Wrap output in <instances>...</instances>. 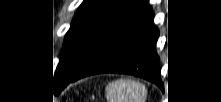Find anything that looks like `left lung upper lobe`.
<instances>
[{"label": "left lung upper lobe", "instance_id": "5c2ea615", "mask_svg": "<svg viewBox=\"0 0 221 102\" xmlns=\"http://www.w3.org/2000/svg\"><path fill=\"white\" fill-rule=\"evenodd\" d=\"M140 0H84L72 21L54 82L59 87L74 76Z\"/></svg>", "mask_w": 221, "mask_h": 102}]
</instances>
